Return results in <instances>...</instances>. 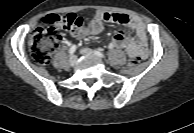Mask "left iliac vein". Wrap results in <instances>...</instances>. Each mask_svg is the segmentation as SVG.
<instances>
[{
  "instance_id": "4c4485c4",
  "label": "left iliac vein",
  "mask_w": 194,
  "mask_h": 133,
  "mask_svg": "<svg viewBox=\"0 0 194 133\" xmlns=\"http://www.w3.org/2000/svg\"><path fill=\"white\" fill-rule=\"evenodd\" d=\"M80 53L82 55H86V56H95V57H98L95 52L89 48H83L80 50Z\"/></svg>"
}]
</instances>
